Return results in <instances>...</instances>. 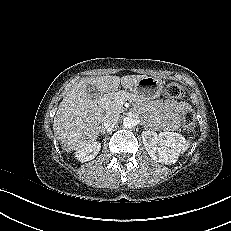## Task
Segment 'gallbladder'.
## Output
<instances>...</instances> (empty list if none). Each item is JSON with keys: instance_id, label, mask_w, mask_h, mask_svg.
Instances as JSON below:
<instances>
[{"instance_id": "bac80fb5", "label": "gallbladder", "mask_w": 231, "mask_h": 231, "mask_svg": "<svg viewBox=\"0 0 231 231\" xmlns=\"http://www.w3.org/2000/svg\"><path fill=\"white\" fill-rule=\"evenodd\" d=\"M87 92L93 98H98L100 97V94H101L95 85H88Z\"/></svg>"}]
</instances>
